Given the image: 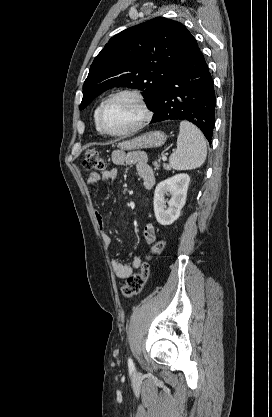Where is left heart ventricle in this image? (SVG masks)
<instances>
[{"instance_id":"1","label":"left heart ventricle","mask_w":272,"mask_h":417,"mask_svg":"<svg viewBox=\"0 0 272 417\" xmlns=\"http://www.w3.org/2000/svg\"><path fill=\"white\" fill-rule=\"evenodd\" d=\"M142 116L137 101L129 96L116 98L108 104L103 113V126L109 132L123 131L135 123Z\"/></svg>"}]
</instances>
